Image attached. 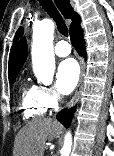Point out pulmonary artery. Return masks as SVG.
Instances as JSON below:
<instances>
[{
  "mask_svg": "<svg viewBox=\"0 0 114 156\" xmlns=\"http://www.w3.org/2000/svg\"><path fill=\"white\" fill-rule=\"evenodd\" d=\"M54 52L59 57H66L71 53V47L66 41H58L54 47Z\"/></svg>",
  "mask_w": 114,
  "mask_h": 156,
  "instance_id": "obj_1",
  "label": "pulmonary artery"
}]
</instances>
